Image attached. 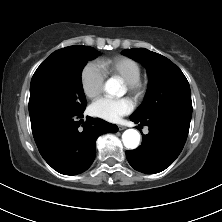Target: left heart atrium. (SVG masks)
Returning a JSON list of instances; mask_svg holds the SVG:
<instances>
[{
  "mask_svg": "<svg viewBox=\"0 0 222 222\" xmlns=\"http://www.w3.org/2000/svg\"><path fill=\"white\" fill-rule=\"evenodd\" d=\"M134 104L129 98L111 99L101 97L94 101L90 106V113L101 119L116 122L122 116L132 112Z\"/></svg>",
  "mask_w": 222,
  "mask_h": 222,
  "instance_id": "1",
  "label": "left heart atrium"
}]
</instances>
